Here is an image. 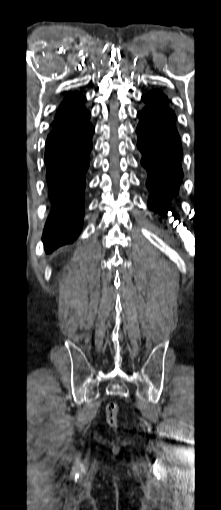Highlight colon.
I'll return each mask as SVG.
<instances>
[{"instance_id": "colon-1", "label": "colon", "mask_w": 221, "mask_h": 510, "mask_svg": "<svg viewBox=\"0 0 221 510\" xmlns=\"http://www.w3.org/2000/svg\"><path fill=\"white\" fill-rule=\"evenodd\" d=\"M118 404L116 402H110L106 407V420L110 427L115 428L118 423Z\"/></svg>"}]
</instances>
